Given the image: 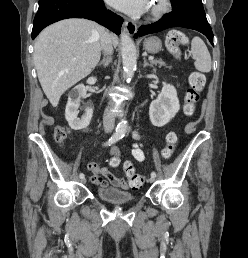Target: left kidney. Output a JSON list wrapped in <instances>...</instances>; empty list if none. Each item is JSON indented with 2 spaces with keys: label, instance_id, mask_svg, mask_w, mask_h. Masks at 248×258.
<instances>
[{
  "label": "left kidney",
  "instance_id": "obj_1",
  "mask_svg": "<svg viewBox=\"0 0 248 258\" xmlns=\"http://www.w3.org/2000/svg\"><path fill=\"white\" fill-rule=\"evenodd\" d=\"M179 109L180 104L175 87L166 84L158 97L150 104V121L156 127H163L175 117Z\"/></svg>",
  "mask_w": 248,
  "mask_h": 258
}]
</instances>
